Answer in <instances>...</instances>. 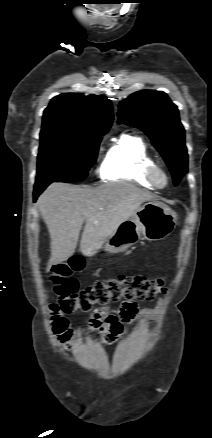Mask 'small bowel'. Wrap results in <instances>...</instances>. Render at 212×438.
Here are the masks:
<instances>
[{
    "mask_svg": "<svg viewBox=\"0 0 212 438\" xmlns=\"http://www.w3.org/2000/svg\"><path fill=\"white\" fill-rule=\"evenodd\" d=\"M138 317L159 321L158 309H144L138 312L136 303L126 300L115 310L107 308L96 310L89 319V326L101 335L105 343L112 344L124 333L125 326L133 323ZM70 338V331L59 336L63 343H68Z\"/></svg>",
    "mask_w": 212,
    "mask_h": 438,
    "instance_id": "c3829d8e",
    "label": "small bowel"
}]
</instances>
